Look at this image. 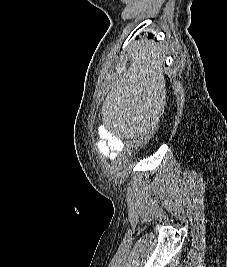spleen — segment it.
<instances>
[{"label": "spleen", "instance_id": "1", "mask_svg": "<svg viewBox=\"0 0 227 267\" xmlns=\"http://www.w3.org/2000/svg\"><path fill=\"white\" fill-rule=\"evenodd\" d=\"M136 42L150 43L151 39L137 38ZM164 61L165 56L152 46L136 53L127 76L117 84L112 99L107 100V105L121 106H103L101 114L160 115L165 98V80L161 75ZM101 121L103 129H113L117 137L140 140L146 129H152L156 116H101Z\"/></svg>", "mask_w": 227, "mask_h": 267}]
</instances>
